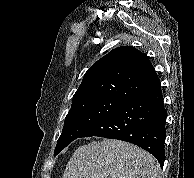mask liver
I'll return each instance as SVG.
<instances>
[{"instance_id":"6515ba94","label":"liver","mask_w":194,"mask_h":178,"mask_svg":"<svg viewBox=\"0 0 194 178\" xmlns=\"http://www.w3.org/2000/svg\"><path fill=\"white\" fill-rule=\"evenodd\" d=\"M62 178H160V166L136 145L104 139L76 149Z\"/></svg>"}]
</instances>
